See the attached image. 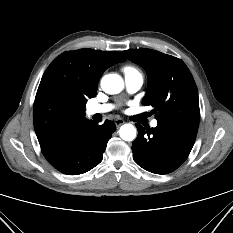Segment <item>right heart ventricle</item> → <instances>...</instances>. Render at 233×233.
<instances>
[{
    "label": "right heart ventricle",
    "instance_id": "obj_1",
    "mask_svg": "<svg viewBox=\"0 0 233 233\" xmlns=\"http://www.w3.org/2000/svg\"><path fill=\"white\" fill-rule=\"evenodd\" d=\"M123 71L125 73V76L141 75L140 71L133 65L124 66Z\"/></svg>",
    "mask_w": 233,
    "mask_h": 233
}]
</instances>
